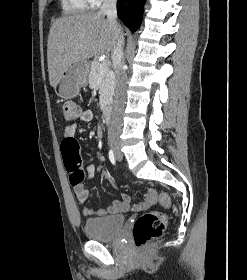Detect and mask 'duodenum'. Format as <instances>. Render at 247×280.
<instances>
[{
    "instance_id": "410a0bca",
    "label": "duodenum",
    "mask_w": 247,
    "mask_h": 280,
    "mask_svg": "<svg viewBox=\"0 0 247 280\" xmlns=\"http://www.w3.org/2000/svg\"><path fill=\"white\" fill-rule=\"evenodd\" d=\"M103 118L106 122L111 120V109L109 107L103 109Z\"/></svg>"
}]
</instances>
